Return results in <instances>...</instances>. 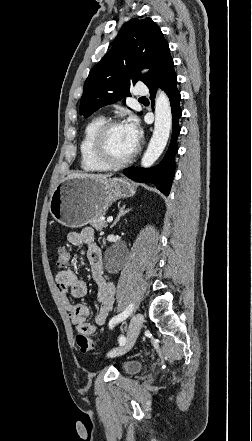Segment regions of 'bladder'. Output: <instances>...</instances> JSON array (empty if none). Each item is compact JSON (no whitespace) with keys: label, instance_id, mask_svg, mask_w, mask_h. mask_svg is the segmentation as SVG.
Listing matches in <instances>:
<instances>
[{"label":"bladder","instance_id":"31cf9c89","mask_svg":"<svg viewBox=\"0 0 252 441\" xmlns=\"http://www.w3.org/2000/svg\"><path fill=\"white\" fill-rule=\"evenodd\" d=\"M141 362L137 360H127L123 364V372L126 374H136L141 369Z\"/></svg>","mask_w":252,"mask_h":441}]
</instances>
